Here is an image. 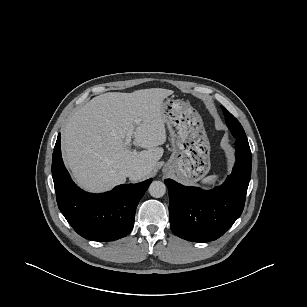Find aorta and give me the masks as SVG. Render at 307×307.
<instances>
[{
  "label": "aorta",
  "instance_id": "aorta-1",
  "mask_svg": "<svg viewBox=\"0 0 307 307\" xmlns=\"http://www.w3.org/2000/svg\"><path fill=\"white\" fill-rule=\"evenodd\" d=\"M149 193L154 198H160L164 196L166 192V186L161 181H153L149 186Z\"/></svg>",
  "mask_w": 307,
  "mask_h": 307
}]
</instances>
